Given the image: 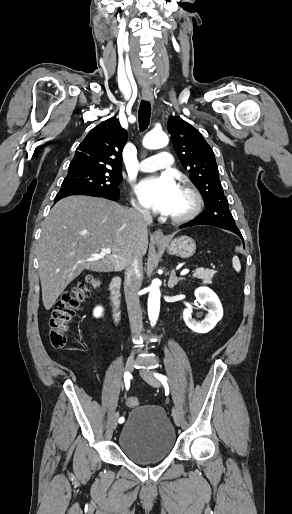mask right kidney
Segmentation results:
<instances>
[{
	"instance_id": "obj_1",
	"label": "right kidney",
	"mask_w": 292,
	"mask_h": 514,
	"mask_svg": "<svg viewBox=\"0 0 292 514\" xmlns=\"http://www.w3.org/2000/svg\"><path fill=\"white\" fill-rule=\"evenodd\" d=\"M103 308H95L94 310V316L95 318H100L102 316Z\"/></svg>"
}]
</instances>
